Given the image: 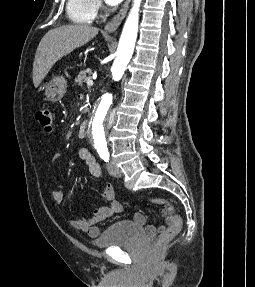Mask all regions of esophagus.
<instances>
[{
	"label": "esophagus",
	"mask_w": 255,
	"mask_h": 287,
	"mask_svg": "<svg viewBox=\"0 0 255 287\" xmlns=\"http://www.w3.org/2000/svg\"><path fill=\"white\" fill-rule=\"evenodd\" d=\"M130 2H131V0H125L124 4H123L122 8L119 10V12L105 26V28H104L105 31L112 33L119 27L122 20L126 16Z\"/></svg>",
	"instance_id": "34e87169"
}]
</instances>
